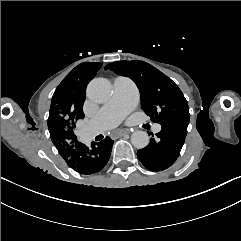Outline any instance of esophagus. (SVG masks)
<instances>
[{"label": "esophagus", "instance_id": "34e87169", "mask_svg": "<svg viewBox=\"0 0 241 241\" xmlns=\"http://www.w3.org/2000/svg\"><path fill=\"white\" fill-rule=\"evenodd\" d=\"M127 133H128V131L126 129H122V130H120V131H118L116 133H112L111 137L112 138H118L119 136L127 134Z\"/></svg>", "mask_w": 241, "mask_h": 241}]
</instances>
